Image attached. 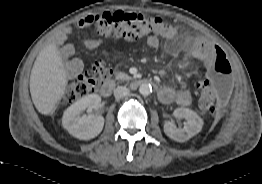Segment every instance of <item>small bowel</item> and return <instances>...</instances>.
<instances>
[{
    "label": "small bowel",
    "mask_w": 262,
    "mask_h": 184,
    "mask_svg": "<svg viewBox=\"0 0 262 184\" xmlns=\"http://www.w3.org/2000/svg\"><path fill=\"white\" fill-rule=\"evenodd\" d=\"M177 36V31L174 27L164 25L158 32L149 35L145 38L146 45L151 49H157L160 46L161 38L173 40ZM61 39L64 34L60 33ZM102 38L88 39L85 41V46L88 49H95L102 45ZM182 46L186 50L188 56L192 59L199 60L203 63L206 76L216 69L219 59V52L210 43L196 37H185L182 40ZM62 56L68 60L67 71L69 77H75L80 74L84 68V63L81 59L72 58L74 49L70 44H66L61 49ZM159 100L164 104L176 103L180 106H189L192 102V92L190 89L174 90L169 86H163L158 93Z\"/></svg>",
    "instance_id": "1"
}]
</instances>
